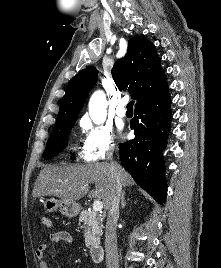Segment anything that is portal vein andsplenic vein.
I'll return each mask as SVG.
<instances>
[{
    "label": "portal vein and splenic vein",
    "mask_w": 221,
    "mask_h": 268,
    "mask_svg": "<svg viewBox=\"0 0 221 268\" xmlns=\"http://www.w3.org/2000/svg\"><path fill=\"white\" fill-rule=\"evenodd\" d=\"M103 208V204L100 200H95L93 203V211L98 212Z\"/></svg>",
    "instance_id": "portal-vein-and-splenic-vein-1"
}]
</instances>
